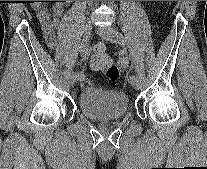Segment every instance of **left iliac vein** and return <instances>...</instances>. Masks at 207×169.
Returning a JSON list of instances; mask_svg holds the SVG:
<instances>
[{
  "label": "left iliac vein",
  "instance_id": "left-iliac-vein-1",
  "mask_svg": "<svg viewBox=\"0 0 207 169\" xmlns=\"http://www.w3.org/2000/svg\"><path fill=\"white\" fill-rule=\"evenodd\" d=\"M96 32L100 37L110 42L116 43L121 46L124 44L122 34L114 26L97 28ZM129 84L136 90L140 88V82L138 77L133 80H129Z\"/></svg>",
  "mask_w": 207,
  "mask_h": 169
}]
</instances>
